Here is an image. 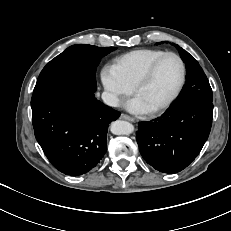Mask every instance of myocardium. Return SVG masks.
Returning a JSON list of instances; mask_svg holds the SVG:
<instances>
[{
  "mask_svg": "<svg viewBox=\"0 0 231 231\" xmlns=\"http://www.w3.org/2000/svg\"><path fill=\"white\" fill-rule=\"evenodd\" d=\"M167 57H174L176 58L179 63H180V67H181V77H180V81L179 84L177 86V88L175 89V91L169 96L168 99H166L163 103H161L160 105L150 109V113L151 114H156V113H160L164 110H166L167 108H169L174 101L179 97V95L181 94L185 83H186V76H187V70H186V65L184 60L182 59V57L174 52H165L164 54H162L161 56L157 57L147 68L146 70L142 73V75L138 78V80L136 81V83L133 86V92L134 94H137V92L139 91L140 88H142L146 83L149 82V80L152 78L157 66L160 64V62L167 58Z\"/></svg>",
  "mask_w": 231,
  "mask_h": 231,
  "instance_id": "f54148a6",
  "label": "myocardium"
}]
</instances>
